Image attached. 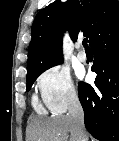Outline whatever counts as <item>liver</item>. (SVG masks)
Instances as JSON below:
<instances>
[{"instance_id": "obj_1", "label": "liver", "mask_w": 119, "mask_h": 141, "mask_svg": "<svg viewBox=\"0 0 119 141\" xmlns=\"http://www.w3.org/2000/svg\"><path fill=\"white\" fill-rule=\"evenodd\" d=\"M79 141L73 119L63 115L48 119L34 118L28 128V141Z\"/></svg>"}]
</instances>
